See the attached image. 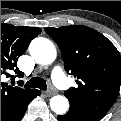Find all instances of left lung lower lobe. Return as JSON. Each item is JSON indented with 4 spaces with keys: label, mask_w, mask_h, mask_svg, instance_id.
I'll use <instances>...</instances> for the list:
<instances>
[{
    "label": "left lung lower lobe",
    "mask_w": 121,
    "mask_h": 121,
    "mask_svg": "<svg viewBox=\"0 0 121 121\" xmlns=\"http://www.w3.org/2000/svg\"><path fill=\"white\" fill-rule=\"evenodd\" d=\"M59 121H99L101 118L82 113L78 110L70 108L65 115L57 117Z\"/></svg>",
    "instance_id": "obj_1"
}]
</instances>
